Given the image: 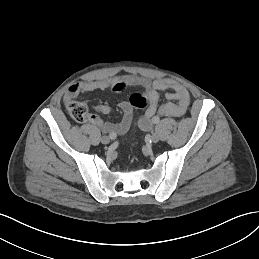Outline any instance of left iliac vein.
I'll use <instances>...</instances> for the list:
<instances>
[{
    "label": "left iliac vein",
    "instance_id": "4c4485c4",
    "mask_svg": "<svg viewBox=\"0 0 259 259\" xmlns=\"http://www.w3.org/2000/svg\"><path fill=\"white\" fill-rule=\"evenodd\" d=\"M151 140L153 143H157L159 141V135L157 133H153L151 135Z\"/></svg>",
    "mask_w": 259,
    "mask_h": 259
}]
</instances>
